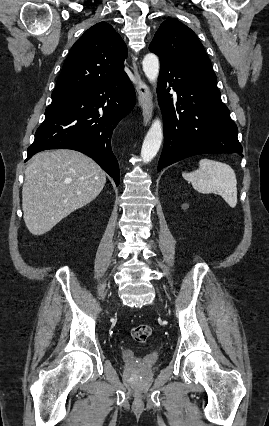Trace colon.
Returning a JSON list of instances; mask_svg holds the SVG:
<instances>
[{
    "label": "colon",
    "instance_id": "obj_1",
    "mask_svg": "<svg viewBox=\"0 0 269 426\" xmlns=\"http://www.w3.org/2000/svg\"><path fill=\"white\" fill-rule=\"evenodd\" d=\"M151 334V327L147 324H138L132 329V337L137 343H146Z\"/></svg>",
    "mask_w": 269,
    "mask_h": 426
}]
</instances>
